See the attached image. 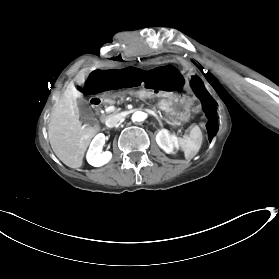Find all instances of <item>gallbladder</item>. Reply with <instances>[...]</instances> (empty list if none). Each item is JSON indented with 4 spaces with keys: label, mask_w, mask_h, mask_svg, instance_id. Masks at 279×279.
<instances>
[{
    "label": "gallbladder",
    "mask_w": 279,
    "mask_h": 279,
    "mask_svg": "<svg viewBox=\"0 0 279 279\" xmlns=\"http://www.w3.org/2000/svg\"><path fill=\"white\" fill-rule=\"evenodd\" d=\"M78 107L80 109V118L83 123H91L93 116L91 109L85 100L78 101Z\"/></svg>",
    "instance_id": "gallbladder-1"
}]
</instances>
